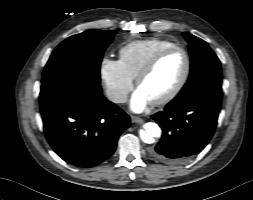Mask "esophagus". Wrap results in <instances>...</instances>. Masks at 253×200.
<instances>
[{"label":"esophagus","instance_id":"obj_1","mask_svg":"<svg viewBox=\"0 0 253 200\" xmlns=\"http://www.w3.org/2000/svg\"><path fill=\"white\" fill-rule=\"evenodd\" d=\"M131 121H132L133 123H139V124H142V123L144 122L143 119H141V118H139V117H137V116H132V117H131Z\"/></svg>","mask_w":253,"mask_h":200}]
</instances>
